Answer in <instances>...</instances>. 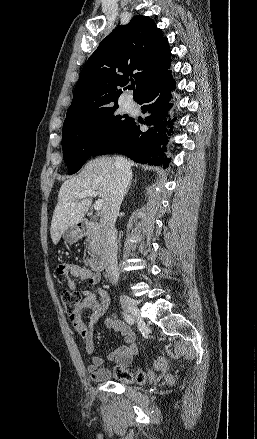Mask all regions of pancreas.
<instances>
[{
  "label": "pancreas",
  "instance_id": "obj_1",
  "mask_svg": "<svg viewBox=\"0 0 257 439\" xmlns=\"http://www.w3.org/2000/svg\"><path fill=\"white\" fill-rule=\"evenodd\" d=\"M93 235H94V233H90V234L87 236V242H88V244H86V248L89 250V254H90L91 256H93V255L96 253V248H95V245H94ZM90 263H91V261L88 260V261H87V264H90Z\"/></svg>",
  "mask_w": 257,
  "mask_h": 439
}]
</instances>
